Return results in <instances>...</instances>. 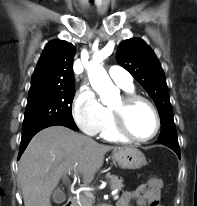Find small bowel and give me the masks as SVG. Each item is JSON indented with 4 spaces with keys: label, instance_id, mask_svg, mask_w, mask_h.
Returning <instances> with one entry per match:
<instances>
[{
    "label": "small bowel",
    "instance_id": "small-bowel-1",
    "mask_svg": "<svg viewBox=\"0 0 197 206\" xmlns=\"http://www.w3.org/2000/svg\"><path fill=\"white\" fill-rule=\"evenodd\" d=\"M133 200L136 201L138 206H161L160 187L154 189L146 185L135 191H127L122 195L118 206H129Z\"/></svg>",
    "mask_w": 197,
    "mask_h": 206
}]
</instances>
